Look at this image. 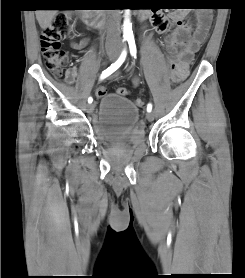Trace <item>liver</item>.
Here are the masks:
<instances>
[{"mask_svg": "<svg viewBox=\"0 0 245 278\" xmlns=\"http://www.w3.org/2000/svg\"><path fill=\"white\" fill-rule=\"evenodd\" d=\"M56 14V10H37L36 19L40 27L45 30L51 25V22Z\"/></svg>", "mask_w": 245, "mask_h": 278, "instance_id": "obj_1", "label": "liver"}]
</instances>
